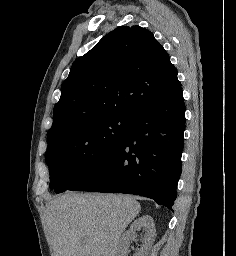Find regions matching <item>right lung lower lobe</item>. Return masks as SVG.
<instances>
[{"label":"right lung lower lobe","instance_id":"right-lung-lower-lobe-1","mask_svg":"<svg viewBox=\"0 0 236 256\" xmlns=\"http://www.w3.org/2000/svg\"><path fill=\"white\" fill-rule=\"evenodd\" d=\"M184 130L180 86L146 106L119 146L67 190L141 195L173 211L182 172Z\"/></svg>","mask_w":236,"mask_h":256}]
</instances>
